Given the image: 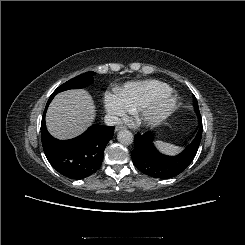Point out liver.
<instances>
[{
  "label": "liver",
  "mask_w": 245,
  "mask_h": 245,
  "mask_svg": "<svg viewBox=\"0 0 245 245\" xmlns=\"http://www.w3.org/2000/svg\"><path fill=\"white\" fill-rule=\"evenodd\" d=\"M95 111L94 101L87 91L79 89L59 93L48 108L47 129L57 139L74 138L92 124Z\"/></svg>",
  "instance_id": "liver-1"
}]
</instances>
